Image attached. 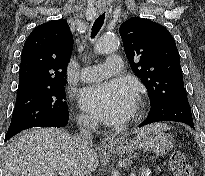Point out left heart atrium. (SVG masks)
<instances>
[{"instance_id":"left-heart-atrium-1","label":"left heart atrium","mask_w":205,"mask_h":176,"mask_svg":"<svg viewBox=\"0 0 205 176\" xmlns=\"http://www.w3.org/2000/svg\"><path fill=\"white\" fill-rule=\"evenodd\" d=\"M137 91L128 80L115 79L84 88L81 106L96 118L110 124L125 120L136 107Z\"/></svg>"}]
</instances>
